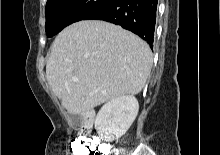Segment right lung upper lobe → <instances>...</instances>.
<instances>
[{
	"mask_svg": "<svg viewBox=\"0 0 220 155\" xmlns=\"http://www.w3.org/2000/svg\"><path fill=\"white\" fill-rule=\"evenodd\" d=\"M52 0H47V3L51 2Z\"/></svg>",
	"mask_w": 220,
	"mask_h": 155,
	"instance_id": "obj_1",
	"label": "right lung upper lobe"
}]
</instances>
